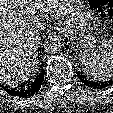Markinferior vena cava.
Returning <instances> with one entry per match:
<instances>
[{
    "label": "inferior vena cava",
    "mask_w": 113,
    "mask_h": 113,
    "mask_svg": "<svg viewBox=\"0 0 113 113\" xmlns=\"http://www.w3.org/2000/svg\"><path fill=\"white\" fill-rule=\"evenodd\" d=\"M44 27V23L42 21H38L36 24H35V29H34V33L37 34L38 31L42 30Z\"/></svg>",
    "instance_id": "inferior-vena-cava-1"
}]
</instances>
